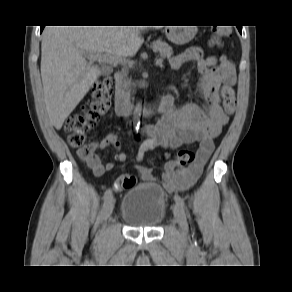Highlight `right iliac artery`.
Here are the masks:
<instances>
[{"label":"right iliac artery","mask_w":292,"mask_h":292,"mask_svg":"<svg viewBox=\"0 0 292 292\" xmlns=\"http://www.w3.org/2000/svg\"><path fill=\"white\" fill-rule=\"evenodd\" d=\"M112 196V190L107 189L104 193L103 200L106 202Z\"/></svg>","instance_id":"obj_1"}]
</instances>
